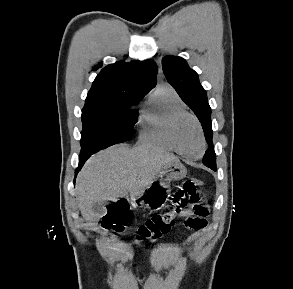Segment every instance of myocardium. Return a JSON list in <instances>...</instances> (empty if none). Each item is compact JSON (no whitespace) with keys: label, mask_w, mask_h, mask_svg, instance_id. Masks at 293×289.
<instances>
[{"label":"myocardium","mask_w":293,"mask_h":289,"mask_svg":"<svg viewBox=\"0 0 293 289\" xmlns=\"http://www.w3.org/2000/svg\"><path fill=\"white\" fill-rule=\"evenodd\" d=\"M185 119H191L196 124V126H197V128L199 130V133H200L201 140H202L201 153L198 156H195V157H192V156H189V155L185 154L181 150V148H180V146L178 144V140H177L178 127H179V124L182 121H184ZM169 140H170V143L172 144L175 152H177L183 158H186V159H189V160L200 159L204 155V153L206 151V138H205L203 127H202L200 121L198 120V118L195 115H193V114H191L190 112H187V111L178 112L172 117V119L170 121V124H169Z\"/></svg>","instance_id":"obj_1"}]
</instances>
